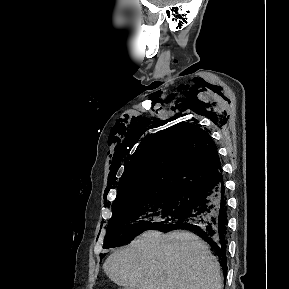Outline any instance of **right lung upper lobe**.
I'll return each mask as SVG.
<instances>
[{
	"label": "right lung upper lobe",
	"instance_id": "cb5924a9",
	"mask_svg": "<svg viewBox=\"0 0 289 289\" xmlns=\"http://www.w3.org/2000/svg\"><path fill=\"white\" fill-rule=\"evenodd\" d=\"M178 123L142 140L123 173L116 204L130 197L172 190L195 191L222 175L210 131Z\"/></svg>",
	"mask_w": 289,
	"mask_h": 289
}]
</instances>
